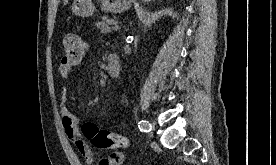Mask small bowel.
Returning a JSON list of instances; mask_svg holds the SVG:
<instances>
[{"label":"small bowel","instance_id":"1","mask_svg":"<svg viewBox=\"0 0 276 165\" xmlns=\"http://www.w3.org/2000/svg\"><path fill=\"white\" fill-rule=\"evenodd\" d=\"M59 73L63 78H69L72 73V67L60 64ZM61 116L62 124L66 136L72 141L85 159L87 165H119L123 161V154L114 152L108 157L100 159L97 163L94 161L93 153L86 142L83 140L78 129V118L67 108L68 93L65 88L61 91Z\"/></svg>","mask_w":276,"mask_h":165}]
</instances>
